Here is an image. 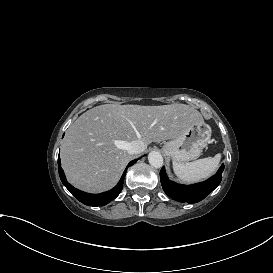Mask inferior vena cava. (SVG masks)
Masks as SVG:
<instances>
[{
  "mask_svg": "<svg viewBox=\"0 0 273 273\" xmlns=\"http://www.w3.org/2000/svg\"><path fill=\"white\" fill-rule=\"evenodd\" d=\"M145 145L141 140H134L127 145V152L129 154H139L145 150Z\"/></svg>",
  "mask_w": 273,
  "mask_h": 273,
  "instance_id": "obj_1",
  "label": "inferior vena cava"
}]
</instances>
